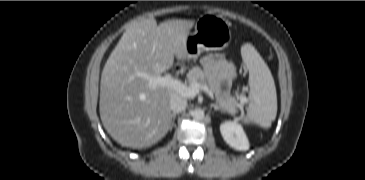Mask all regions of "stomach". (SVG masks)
<instances>
[{
  "label": "stomach",
  "instance_id": "stomach-1",
  "mask_svg": "<svg viewBox=\"0 0 365 180\" xmlns=\"http://www.w3.org/2000/svg\"><path fill=\"white\" fill-rule=\"evenodd\" d=\"M231 42L230 24L225 19L203 15L195 23V30L184 39L186 57L184 60H195L202 51L223 50Z\"/></svg>",
  "mask_w": 365,
  "mask_h": 180
}]
</instances>
